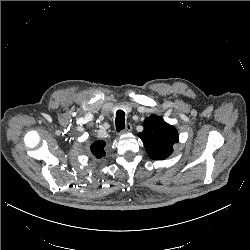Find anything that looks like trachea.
I'll return each instance as SVG.
<instances>
[{"label": "trachea", "mask_w": 250, "mask_h": 250, "mask_svg": "<svg viewBox=\"0 0 250 250\" xmlns=\"http://www.w3.org/2000/svg\"><path fill=\"white\" fill-rule=\"evenodd\" d=\"M115 124H116V130L117 132H120L125 128V113L122 110H118L116 112V119H115Z\"/></svg>", "instance_id": "1"}]
</instances>
